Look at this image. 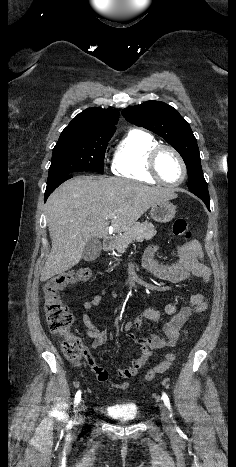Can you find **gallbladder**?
Here are the masks:
<instances>
[{"mask_svg":"<svg viewBox=\"0 0 236 467\" xmlns=\"http://www.w3.org/2000/svg\"><path fill=\"white\" fill-rule=\"evenodd\" d=\"M101 250L102 244L100 240L97 238H90L83 249L82 258L85 261H93L99 257Z\"/></svg>","mask_w":236,"mask_h":467,"instance_id":"1","label":"gallbladder"}]
</instances>
